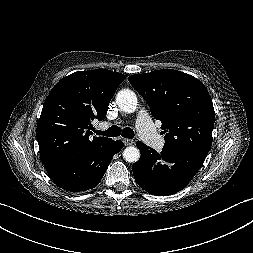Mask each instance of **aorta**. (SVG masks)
Returning <instances> with one entry per match:
<instances>
[{
	"label": "aorta",
	"mask_w": 253,
	"mask_h": 253,
	"mask_svg": "<svg viewBox=\"0 0 253 253\" xmlns=\"http://www.w3.org/2000/svg\"><path fill=\"white\" fill-rule=\"evenodd\" d=\"M116 103L122 111L132 113L137 108L138 100L133 91L123 89L117 93ZM123 158L129 163L137 162L140 158V151L134 146L127 147L123 151Z\"/></svg>",
	"instance_id": "aorta-1"
}]
</instances>
